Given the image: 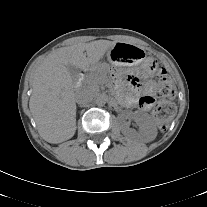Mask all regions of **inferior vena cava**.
Segmentation results:
<instances>
[{
    "label": "inferior vena cava",
    "mask_w": 207,
    "mask_h": 207,
    "mask_svg": "<svg viewBox=\"0 0 207 207\" xmlns=\"http://www.w3.org/2000/svg\"><path fill=\"white\" fill-rule=\"evenodd\" d=\"M94 98L93 93L86 88H82L76 92L75 101L79 105H86L90 103Z\"/></svg>",
    "instance_id": "602c4592"
}]
</instances>
